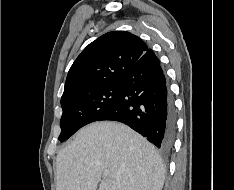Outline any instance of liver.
Here are the masks:
<instances>
[{
    "mask_svg": "<svg viewBox=\"0 0 234 190\" xmlns=\"http://www.w3.org/2000/svg\"><path fill=\"white\" fill-rule=\"evenodd\" d=\"M108 176L101 181L102 173ZM56 190H162L165 167L155 147L128 126L83 127L56 158Z\"/></svg>",
    "mask_w": 234,
    "mask_h": 190,
    "instance_id": "obj_1",
    "label": "liver"
}]
</instances>
